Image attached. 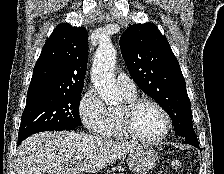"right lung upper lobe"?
<instances>
[{
  "mask_svg": "<svg viewBox=\"0 0 224 174\" xmlns=\"http://www.w3.org/2000/svg\"><path fill=\"white\" fill-rule=\"evenodd\" d=\"M87 57L86 29L67 23L59 24L35 64L28 95L82 91Z\"/></svg>",
  "mask_w": 224,
  "mask_h": 174,
  "instance_id": "1",
  "label": "right lung upper lobe"
}]
</instances>
